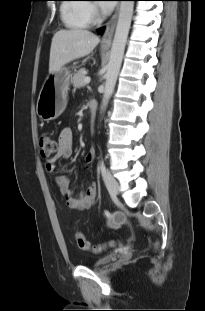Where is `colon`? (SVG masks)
Segmentation results:
<instances>
[{
	"label": "colon",
	"mask_w": 205,
	"mask_h": 311,
	"mask_svg": "<svg viewBox=\"0 0 205 311\" xmlns=\"http://www.w3.org/2000/svg\"><path fill=\"white\" fill-rule=\"evenodd\" d=\"M59 149V142L49 133H45L40 138V152L43 159L48 160ZM75 242L79 249L91 251L93 253H102L107 249L113 248L116 241L111 240L107 243L91 245L80 231H75ZM157 246V243L155 244Z\"/></svg>",
	"instance_id": "colon-1"
}]
</instances>
